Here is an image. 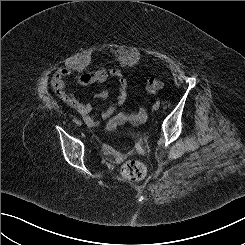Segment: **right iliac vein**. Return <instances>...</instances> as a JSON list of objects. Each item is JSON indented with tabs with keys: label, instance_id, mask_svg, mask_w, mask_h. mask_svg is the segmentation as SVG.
Returning a JSON list of instances; mask_svg holds the SVG:
<instances>
[{
	"label": "right iliac vein",
	"instance_id": "1",
	"mask_svg": "<svg viewBox=\"0 0 245 245\" xmlns=\"http://www.w3.org/2000/svg\"><path fill=\"white\" fill-rule=\"evenodd\" d=\"M77 125L78 126H81L82 125V122L80 120L77 121Z\"/></svg>",
	"mask_w": 245,
	"mask_h": 245
}]
</instances>
